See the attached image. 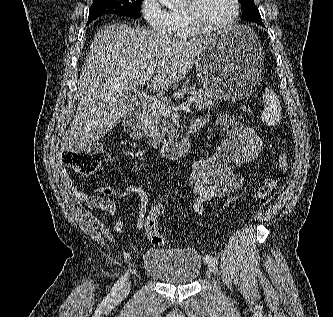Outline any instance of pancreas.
Wrapping results in <instances>:
<instances>
[{"label":"pancreas","instance_id":"cf45deb5","mask_svg":"<svg viewBox=\"0 0 333 317\" xmlns=\"http://www.w3.org/2000/svg\"><path fill=\"white\" fill-rule=\"evenodd\" d=\"M181 94H190L197 98L195 107L201 111L205 108H210L217 104V100L203 89L196 90L194 86H183L179 90ZM170 99L162 97L161 103L168 104ZM147 126L145 135L152 139V142L162 143L172 141L175 138L174 127L164 117L160 111L158 104H152L147 112Z\"/></svg>","mask_w":333,"mask_h":317}]
</instances>
